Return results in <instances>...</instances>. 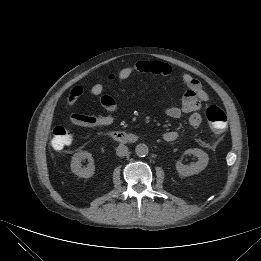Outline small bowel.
Returning <instances> with one entry per match:
<instances>
[{
  "label": "small bowel",
  "instance_id": "obj_1",
  "mask_svg": "<svg viewBox=\"0 0 261 261\" xmlns=\"http://www.w3.org/2000/svg\"><path fill=\"white\" fill-rule=\"evenodd\" d=\"M135 72L150 73L162 76H168L172 72L169 64L160 61H139L131 66L121 69L117 74L119 81L128 79ZM181 81L186 87L182 101L179 106H168L165 113L173 119L180 118L183 114H189V124L197 128L202 123L199 110L201 103L208 101L209 97L203 89L201 83L189 74H183ZM104 86L101 83H95L90 87L91 95L98 97L97 102L105 109L106 113L101 115L85 114L73 112L70 115V121L81 127H99L109 126L114 123L115 115L118 111V105L115 99L109 95H102ZM82 86H74L67 98L70 106L75 105L79 98L83 95ZM163 139L166 142H173L178 138V133L174 130H168L163 133Z\"/></svg>",
  "mask_w": 261,
  "mask_h": 261
}]
</instances>
